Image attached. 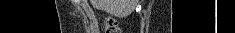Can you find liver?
Wrapping results in <instances>:
<instances>
[{"label": "liver", "mask_w": 235, "mask_h": 33, "mask_svg": "<svg viewBox=\"0 0 235 33\" xmlns=\"http://www.w3.org/2000/svg\"><path fill=\"white\" fill-rule=\"evenodd\" d=\"M92 6L117 17H124L133 12L137 0H90Z\"/></svg>", "instance_id": "6515ba94"}]
</instances>
